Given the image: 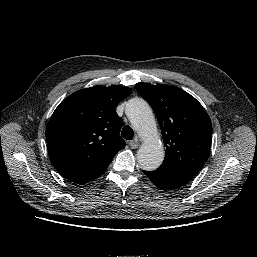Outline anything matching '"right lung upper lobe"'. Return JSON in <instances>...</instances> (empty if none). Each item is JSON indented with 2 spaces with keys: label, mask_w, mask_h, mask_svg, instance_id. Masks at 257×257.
I'll return each instance as SVG.
<instances>
[{
  "label": "right lung upper lobe",
  "mask_w": 257,
  "mask_h": 257,
  "mask_svg": "<svg viewBox=\"0 0 257 257\" xmlns=\"http://www.w3.org/2000/svg\"><path fill=\"white\" fill-rule=\"evenodd\" d=\"M132 89L94 86L65 98L46 128L50 160L66 179L84 184L105 172L114 155L125 147L123 125L115 108Z\"/></svg>",
  "instance_id": "1"
}]
</instances>
